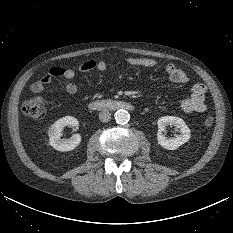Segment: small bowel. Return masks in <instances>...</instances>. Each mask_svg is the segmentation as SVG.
I'll return each mask as SVG.
<instances>
[{"label":"small bowel","mask_w":233,"mask_h":233,"mask_svg":"<svg viewBox=\"0 0 233 233\" xmlns=\"http://www.w3.org/2000/svg\"><path fill=\"white\" fill-rule=\"evenodd\" d=\"M127 62L132 66L144 67V68H154L157 65L156 60L147 57H134L130 56L127 58ZM107 69V62L103 59L93 60L89 59L83 62L79 71L82 73H87L92 70H97L99 72H104ZM166 73L169 79L176 84H185L189 81V77L185 71L176 67L173 64H169L166 67ZM75 70L64 67H53L46 75L37 80L31 85V91L34 93H41L45 88L57 78H64L71 80L75 77ZM78 86L75 82L70 81L66 85V91L73 95L77 92ZM207 88L202 83L195 84L191 89V95L180 102V110L184 113H202L207 109L205 102Z\"/></svg>","instance_id":"c3829d8e"}]
</instances>
